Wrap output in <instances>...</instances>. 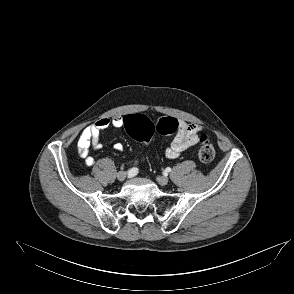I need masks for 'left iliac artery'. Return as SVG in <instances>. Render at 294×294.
Segmentation results:
<instances>
[{"mask_svg":"<svg viewBox=\"0 0 294 294\" xmlns=\"http://www.w3.org/2000/svg\"><path fill=\"white\" fill-rule=\"evenodd\" d=\"M171 171V168L170 167H167L166 169H165V172H167V173H169Z\"/></svg>","mask_w":294,"mask_h":294,"instance_id":"left-iliac-artery-1","label":"left iliac artery"}]
</instances>
